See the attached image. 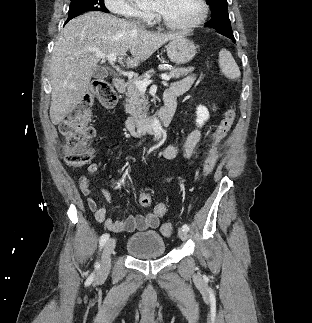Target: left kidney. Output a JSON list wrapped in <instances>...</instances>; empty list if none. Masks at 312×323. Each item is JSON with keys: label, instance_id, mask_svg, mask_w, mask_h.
<instances>
[{"label": "left kidney", "instance_id": "obj_1", "mask_svg": "<svg viewBox=\"0 0 312 323\" xmlns=\"http://www.w3.org/2000/svg\"><path fill=\"white\" fill-rule=\"evenodd\" d=\"M196 110H197V112H196L197 126H198V128H201V126H203V124H205V122H207V120H209V118H210L209 112H208L207 108H205V106H198V108H196Z\"/></svg>", "mask_w": 312, "mask_h": 323}]
</instances>
